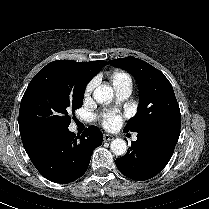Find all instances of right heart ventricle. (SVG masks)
<instances>
[{
  "label": "right heart ventricle",
  "instance_id": "obj_1",
  "mask_svg": "<svg viewBox=\"0 0 209 209\" xmlns=\"http://www.w3.org/2000/svg\"><path fill=\"white\" fill-rule=\"evenodd\" d=\"M111 79L114 87L123 85H132L131 77L124 71H114L111 74Z\"/></svg>",
  "mask_w": 209,
  "mask_h": 209
}]
</instances>
